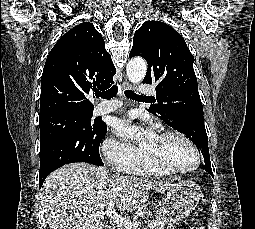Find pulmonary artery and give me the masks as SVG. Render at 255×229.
I'll return each mask as SVG.
<instances>
[{
    "instance_id": "1",
    "label": "pulmonary artery",
    "mask_w": 255,
    "mask_h": 229,
    "mask_svg": "<svg viewBox=\"0 0 255 229\" xmlns=\"http://www.w3.org/2000/svg\"><path fill=\"white\" fill-rule=\"evenodd\" d=\"M139 90H140V93L143 95H150L156 92L154 86H151V85H142ZM120 106H121V103L119 101L112 100L99 105L96 108V113L97 114L111 113L116 111Z\"/></svg>"
}]
</instances>
